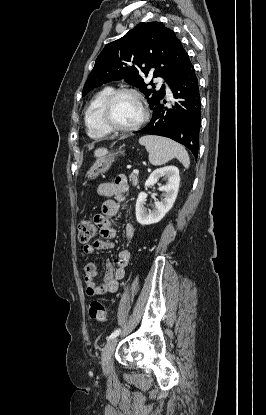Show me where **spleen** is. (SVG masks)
<instances>
[{"mask_svg": "<svg viewBox=\"0 0 266 415\" xmlns=\"http://www.w3.org/2000/svg\"><path fill=\"white\" fill-rule=\"evenodd\" d=\"M139 143L145 146L152 165L160 166L176 158L185 168H189L190 158L182 145L165 137L152 135L141 137Z\"/></svg>", "mask_w": 266, "mask_h": 415, "instance_id": "obj_1", "label": "spleen"}]
</instances>
